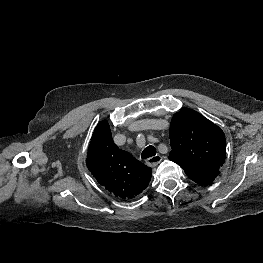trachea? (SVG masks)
<instances>
[{"instance_id":"1","label":"trachea","mask_w":263,"mask_h":263,"mask_svg":"<svg viewBox=\"0 0 263 263\" xmlns=\"http://www.w3.org/2000/svg\"><path fill=\"white\" fill-rule=\"evenodd\" d=\"M154 155H156V149H155V147L154 146H148V147H146L144 150H143V152H142V154H141V158L142 159H147V158H149V157H152V156H154Z\"/></svg>"}]
</instances>
